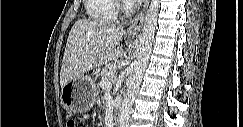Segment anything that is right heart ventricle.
Segmentation results:
<instances>
[{"instance_id":"1","label":"right heart ventricle","mask_w":243,"mask_h":127,"mask_svg":"<svg viewBox=\"0 0 243 127\" xmlns=\"http://www.w3.org/2000/svg\"><path fill=\"white\" fill-rule=\"evenodd\" d=\"M117 1L115 0H86L87 16L97 23H110L117 19Z\"/></svg>"}]
</instances>
